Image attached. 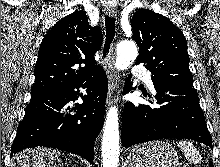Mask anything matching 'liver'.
<instances>
[{
  "mask_svg": "<svg viewBox=\"0 0 220 167\" xmlns=\"http://www.w3.org/2000/svg\"><path fill=\"white\" fill-rule=\"evenodd\" d=\"M60 152L43 147L26 149L16 154L10 167H59Z\"/></svg>",
  "mask_w": 220,
  "mask_h": 167,
  "instance_id": "obj_1",
  "label": "liver"
}]
</instances>
